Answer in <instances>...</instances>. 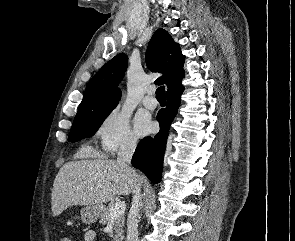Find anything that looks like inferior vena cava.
I'll return each mask as SVG.
<instances>
[{"instance_id":"inferior-vena-cava-1","label":"inferior vena cava","mask_w":295,"mask_h":241,"mask_svg":"<svg viewBox=\"0 0 295 241\" xmlns=\"http://www.w3.org/2000/svg\"><path fill=\"white\" fill-rule=\"evenodd\" d=\"M137 141L134 137L127 136L120 144L117 155V163L124 166L132 175L134 170L130 167V162L136 148ZM141 190L139 185H135L133 190L132 206L127 218V238L126 241L138 240V215L140 210Z\"/></svg>"}]
</instances>
